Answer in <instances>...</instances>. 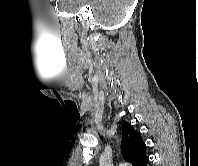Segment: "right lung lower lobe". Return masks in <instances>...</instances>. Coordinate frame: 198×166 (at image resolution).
Returning <instances> with one entry per match:
<instances>
[{"label": "right lung lower lobe", "instance_id": "obj_1", "mask_svg": "<svg viewBox=\"0 0 198 166\" xmlns=\"http://www.w3.org/2000/svg\"><path fill=\"white\" fill-rule=\"evenodd\" d=\"M148 161H149V158H147V160L144 162L142 166H147Z\"/></svg>", "mask_w": 198, "mask_h": 166}]
</instances>
